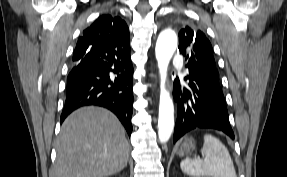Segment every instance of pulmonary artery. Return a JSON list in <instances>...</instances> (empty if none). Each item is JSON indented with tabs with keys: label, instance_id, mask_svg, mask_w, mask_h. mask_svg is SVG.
Here are the masks:
<instances>
[{
	"label": "pulmonary artery",
	"instance_id": "obj_1",
	"mask_svg": "<svg viewBox=\"0 0 287 177\" xmlns=\"http://www.w3.org/2000/svg\"><path fill=\"white\" fill-rule=\"evenodd\" d=\"M172 64L175 67L181 66L183 64V57L181 55H175L172 59Z\"/></svg>",
	"mask_w": 287,
	"mask_h": 177
}]
</instances>
